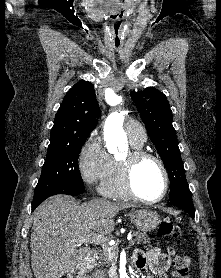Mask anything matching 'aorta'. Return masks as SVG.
I'll return each instance as SVG.
<instances>
[{"label":"aorta","mask_w":221,"mask_h":278,"mask_svg":"<svg viewBox=\"0 0 221 278\" xmlns=\"http://www.w3.org/2000/svg\"><path fill=\"white\" fill-rule=\"evenodd\" d=\"M123 122V112H113L106 119L104 139L110 153H116L119 145L127 143L126 134L123 130Z\"/></svg>","instance_id":"aorta-1"}]
</instances>
